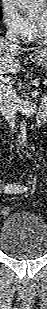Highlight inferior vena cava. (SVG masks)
Returning a JSON list of instances; mask_svg holds the SVG:
<instances>
[{
	"label": "inferior vena cava",
	"instance_id": "1",
	"mask_svg": "<svg viewBox=\"0 0 47 309\" xmlns=\"http://www.w3.org/2000/svg\"><path fill=\"white\" fill-rule=\"evenodd\" d=\"M6 39L15 44L19 45V41L14 35L12 28H9L5 35ZM0 104H1V112L7 119V121L14 125V121L17 114V107L19 98L17 96L16 90L13 88L12 84H2L0 91Z\"/></svg>",
	"mask_w": 47,
	"mask_h": 309
}]
</instances>
